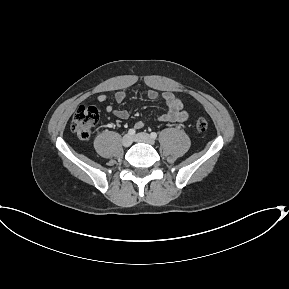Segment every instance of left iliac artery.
Listing matches in <instances>:
<instances>
[{
  "instance_id": "44dca946",
  "label": "left iliac artery",
  "mask_w": 289,
  "mask_h": 289,
  "mask_svg": "<svg viewBox=\"0 0 289 289\" xmlns=\"http://www.w3.org/2000/svg\"><path fill=\"white\" fill-rule=\"evenodd\" d=\"M150 136H151L153 139H156V138H157V133L152 132V133L150 134Z\"/></svg>"
}]
</instances>
